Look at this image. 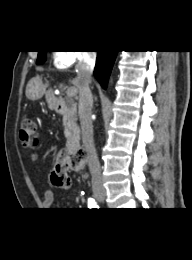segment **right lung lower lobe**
Instances as JSON below:
<instances>
[{
	"label": "right lung lower lobe",
	"mask_w": 192,
	"mask_h": 260,
	"mask_svg": "<svg viewBox=\"0 0 192 260\" xmlns=\"http://www.w3.org/2000/svg\"><path fill=\"white\" fill-rule=\"evenodd\" d=\"M116 56L117 51H98L94 75L104 89L107 87Z\"/></svg>",
	"instance_id": "1"
}]
</instances>
